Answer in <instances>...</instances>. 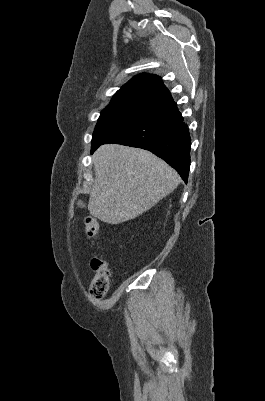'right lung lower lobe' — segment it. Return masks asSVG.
<instances>
[{
  "instance_id": "obj_1",
  "label": "right lung lower lobe",
  "mask_w": 265,
  "mask_h": 401,
  "mask_svg": "<svg viewBox=\"0 0 265 401\" xmlns=\"http://www.w3.org/2000/svg\"><path fill=\"white\" fill-rule=\"evenodd\" d=\"M105 143H118L151 151L173 167L187 183L191 139L176 103L123 128L101 144ZM101 144L92 147L91 152Z\"/></svg>"
}]
</instances>
